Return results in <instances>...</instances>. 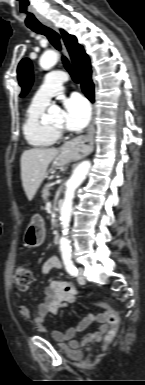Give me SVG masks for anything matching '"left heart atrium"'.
Returning <instances> with one entry per match:
<instances>
[{
    "mask_svg": "<svg viewBox=\"0 0 145 385\" xmlns=\"http://www.w3.org/2000/svg\"><path fill=\"white\" fill-rule=\"evenodd\" d=\"M65 125L70 130L83 129L90 120V107L81 95H72L63 101Z\"/></svg>",
    "mask_w": 145,
    "mask_h": 385,
    "instance_id": "1",
    "label": "left heart atrium"
}]
</instances>
